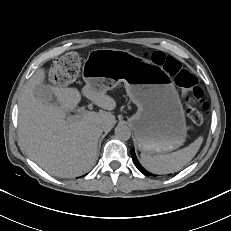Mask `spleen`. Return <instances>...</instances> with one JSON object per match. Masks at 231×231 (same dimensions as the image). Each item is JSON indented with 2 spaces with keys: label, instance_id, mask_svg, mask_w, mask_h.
Segmentation results:
<instances>
[{
  "label": "spleen",
  "instance_id": "3e777b00",
  "mask_svg": "<svg viewBox=\"0 0 231 231\" xmlns=\"http://www.w3.org/2000/svg\"><path fill=\"white\" fill-rule=\"evenodd\" d=\"M203 137H198L189 146L176 152L163 155L141 153V163L150 172L155 174H168L180 171L198 152Z\"/></svg>",
  "mask_w": 231,
  "mask_h": 231
}]
</instances>
